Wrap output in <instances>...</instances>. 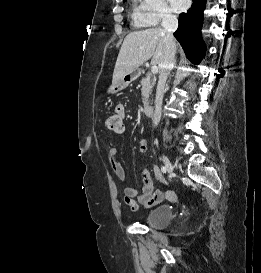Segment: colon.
<instances>
[{
	"label": "colon",
	"mask_w": 261,
	"mask_h": 273,
	"mask_svg": "<svg viewBox=\"0 0 261 273\" xmlns=\"http://www.w3.org/2000/svg\"><path fill=\"white\" fill-rule=\"evenodd\" d=\"M107 127L112 131H119L122 129V119L119 115H111L107 119ZM169 197H173L171 192H168Z\"/></svg>",
	"instance_id": "obj_1"
}]
</instances>
